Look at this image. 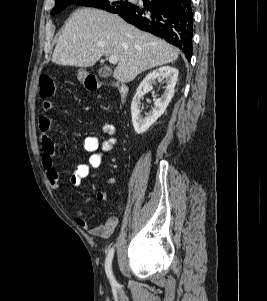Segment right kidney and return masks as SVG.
<instances>
[{
	"label": "right kidney",
	"instance_id": "right-kidney-1",
	"mask_svg": "<svg viewBox=\"0 0 267 301\" xmlns=\"http://www.w3.org/2000/svg\"><path fill=\"white\" fill-rule=\"evenodd\" d=\"M178 70L174 67L164 66L149 73L139 85L131 103L132 124L137 134L146 132L152 124L166 111L173 95L178 79ZM165 79L166 89L163 95L154 101V108L146 117L141 115V99L143 95L153 89V83L157 79Z\"/></svg>",
	"mask_w": 267,
	"mask_h": 301
}]
</instances>
